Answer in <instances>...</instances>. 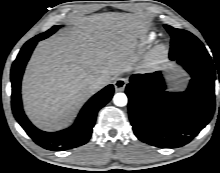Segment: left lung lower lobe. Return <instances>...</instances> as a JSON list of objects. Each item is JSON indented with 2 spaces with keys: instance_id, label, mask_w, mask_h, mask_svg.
Masks as SVG:
<instances>
[{
  "instance_id": "1",
  "label": "left lung lower lobe",
  "mask_w": 220,
  "mask_h": 173,
  "mask_svg": "<svg viewBox=\"0 0 220 173\" xmlns=\"http://www.w3.org/2000/svg\"><path fill=\"white\" fill-rule=\"evenodd\" d=\"M170 59L177 60L191 75L185 92H166L159 71L132 75L126 87L135 135L161 148H177L189 143L209 123L215 108L216 74L211 57L188 54L180 58L170 55Z\"/></svg>"
}]
</instances>
